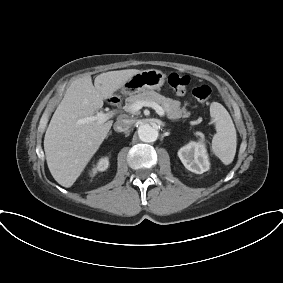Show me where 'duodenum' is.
I'll use <instances>...</instances> for the list:
<instances>
[{"instance_id": "duodenum-1", "label": "duodenum", "mask_w": 283, "mask_h": 283, "mask_svg": "<svg viewBox=\"0 0 283 283\" xmlns=\"http://www.w3.org/2000/svg\"><path fill=\"white\" fill-rule=\"evenodd\" d=\"M109 102H110V104H115V103L118 102V99L116 97H114V98L110 99Z\"/></svg>"}]
</instances>
